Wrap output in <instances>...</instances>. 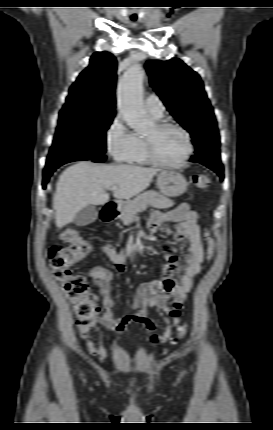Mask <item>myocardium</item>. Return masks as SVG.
<instances>
[{
	"instance_id": "myocardium-1",
	"label": "myocardium",
	"mask_w": 273,
	"mask_h": 430,
	"mask_svg": "<svg viewBox=\"0 0 273 430\" xmlns=\"http://www.w3.org/2000/svg\"><path fill=\"white\" fill-rule=\"evenodd\" d=\"M153 126L157 131H161L167 128H173L180 131L184 135L186 140V151L183 157L176 162L162 161L161 159L158 158L156 154L152 139L145 136L144 139H145L146 151H147L149 162L163 168H179L183 166L190 159L194 151L192 138L188 130L184 128L182 125L171 121H159V122H156Z\"/></svg>"
}]
</instances>
